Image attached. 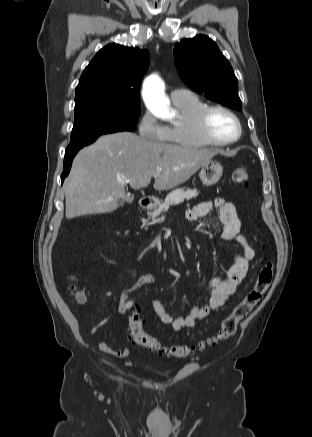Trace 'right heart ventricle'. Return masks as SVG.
Wrapping results in <instances>:
<instances>
[{
	"instance_id": "e07e8e85",
	"label": "right heart ventricle",
	"mask_w": 312,
	"mask_h": 437,
	"mask_svg": "<svg viewBox=\"0 0 312 437\" xmlns=\"http://www.w3.org/2000/svg\"><path fill=\"white\" fill-rule=\"evenodd\" d=\"M173 103L179 112V117L175 122L166 126L164 141L167 144L185 148H198L209 145L197 135L194 128L196 113L207 106V104L191 93Z\"/></svg>"
}]
</instances>
